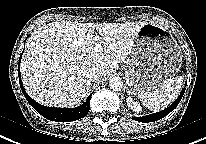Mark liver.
I'll list each match as a JSON object with an SVG mask.
<instances>
[{"instance_id": "6515ba94", "label": "liver", "mask_w": 206, "mask_h": 144, "mask_svg": "<svg viewBox=\"0 0 206 144\" xmlns=\"http://www.w3.org/2000/svg\"><path fill=\"white\" fill-rule=\"evenodd\" d=\"M145 22H52L29 37L21 60L26 92L46 106L75 107L90 89L88 70L99 69L106 77L131 54L135 37ZM95 31L99 38H95ZM102 44V52L94 50Z\"/></svg>"}]
</instances>
